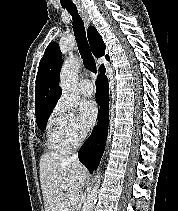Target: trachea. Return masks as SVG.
Masks as SVG:
<instances>
[{
	"label": "trachea",
	"instance_id": "obj_1",
	"mask_svg": "<svg viewBox=\"0 0 178 211\" xmlns=\"http://www.w3.org/2000/svg\"><path fill=\"white\" fill-rule=\"evenodd\" d=\"M63 8L66 9L68 13L72 16L73 31L78 44V50L81 58L83 59L84 65L92 74H96V63L89 48L83 20L81 19L76 6H63Z\"/></svg>",
	"mask_w": 178,
	"mask_h": 211
}]
</instances>
